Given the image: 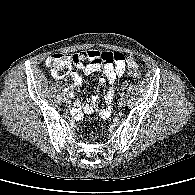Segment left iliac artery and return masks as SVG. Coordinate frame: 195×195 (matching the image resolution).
I'll return each instance as SVG.
<instances>
[{
  "mask_svg": "<svg viewBox=\"0 0 195 195\" xmlns=\"http://www.w3.org/2000/svg\"><path fill=\"white\" fill-rule=\"evenodd\" d=\"M122 96H124L125 95V93L124 92H122V94H121Z\"/></svg>",
  "mask_w": 195,
  "mask_h": 195,
  "instance_id": "left-iliac-artery-1",
  "label": "left iliac artery"
}]
</instances>
